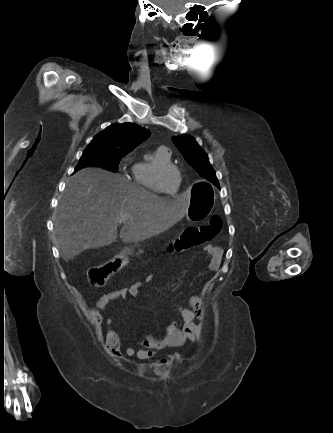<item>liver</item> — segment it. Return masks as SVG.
<instances>
[{"instance_id":"6515ba94","label":"liver","mask_w":333,"mask_h":433,"mask_svg":"<svg viewBox=\"0 0 333 433\" xmlns=\"http://www.w3.org/2000/svg\"><path fill=\"white\" fill-rule=\"evenodd\" d=\"M177 198V195H174ZM188 201H166L119 174L88 167L69 178L58 205L54 231L61 256L73 259L86 249L112 244L117 238L133 243L158 235L186 215Z\"/></svg>"}]
</instances>
